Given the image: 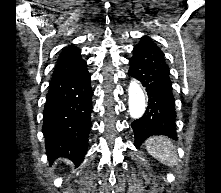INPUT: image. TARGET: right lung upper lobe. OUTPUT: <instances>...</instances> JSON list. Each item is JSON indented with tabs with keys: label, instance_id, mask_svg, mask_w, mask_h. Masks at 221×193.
I'll list each match as a JSON object with an SVG mask.
<instances>
[{
	"label": "right lung upper lobe",
	"instance_id": "cb5924a9",
	"mask_svg": "<svg viewBox=\"0 0 221 193\" xmlns=\"http://www.w3.org/2000/svg\"><path fill=\"white\" fill-rule=\"evenodd\" d=\"M85 64L86 62L80 56V50L74 45H69L60 53L53 76L72 72Z\"/></svg>",
	"mask_w": 221,
	"mask_h": 193
}]
</instances>
